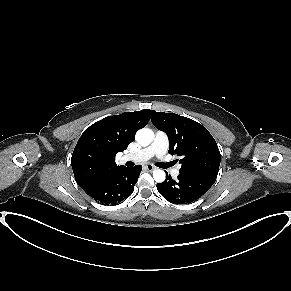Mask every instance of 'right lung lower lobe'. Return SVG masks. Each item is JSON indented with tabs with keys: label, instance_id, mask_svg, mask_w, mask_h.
Instances as JSON below:
<instances>
[{
	"label": "right lung lower lobe",
	"instance_id": "1",
	"mask_svg": "<svg viewBox=\"0 0 291 291\" xmlns=\"http://www.w3.org/2000/svg\"><path fill=\"white\" fill-rule=\"evenodd\" d=\"M141 169L140 165L132 168H120L103 181L84 191L98 203L118 204L133 193Z\"/></svg>",
	"mask_w": 291,
	"mask_h": 291
}]
</instances>
